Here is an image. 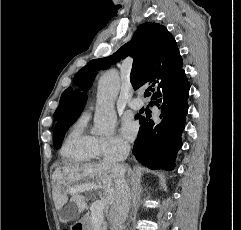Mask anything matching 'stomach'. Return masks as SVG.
<instances>
[{"instance_id":"stomach-1","label":"stomach","mask_w":241,"mask_h":230,"mask_svg":"<svg viewBox=\"0 0 241 230\" xmlns=\"http://www.w3.org/2000/svg\"><path fill=\"white\" fill-rule=\"evenodd\" d=\"M78 227V229L80 230H90V226L87 222V219L83 218L81 220H79L76 225Z\"/></svg>"}]
</instances>
